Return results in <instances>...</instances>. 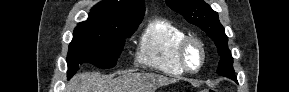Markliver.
<instances>
[{"instance_id": "liver-1", "label": "liver", "mask_w": 289, "mask_h": 92, "mask_svg": "<svg viewBox=\"0 0 289 92\" xmlns=\"http://www.w3.org/2000/svg\"><path fill=\"white\" fill-rule=\"evenodd\" d=\"M175 82L176 79L154 73H128L115 79L99 73H85L69 82L68 92H154Z\"/></svg>"}]
</instances>
